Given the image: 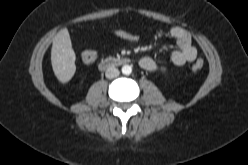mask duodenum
I'll return each instance as SVG.
<instances>
[{"mask_svg": "<svg viewBox=\"0 0 248 165\" xmlns=\"http://www.w3.org/2000/svg\"><path fill=\"white\" fill-rule=\"evenodd\" d=\"M129 63H130V59L127 57H121V58L110 57V58L103 59L99 63V68L101 70H106V69L112 68L114 66L126 65Z\"/></svg>", "mask_w": 248, "mask_h": 165, "instance_id": "410a0bca", "label": "duodenum"}]
</instances>
